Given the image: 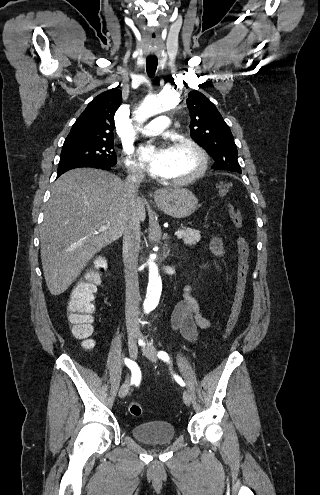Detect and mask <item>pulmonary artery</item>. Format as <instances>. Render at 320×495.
Masks as SVG:
<instances>
[{
    "instance_id": "obj_1",
    "label": "pulmonary artery",
    "mask_w": 320,
    "mask_h": 495,
    "mask_svg": "<svg viewBox=\"0 0 320 495\" xmlns=\"http://www.w3.org/2000/svg\"><path fill=\"white\" fill-rule=\"evenodd\" d=\"M169 124L170 118L165 115H161L141 128V133L144 135L160 134L168 128Z\"/></svg>"
}]
</instances>
